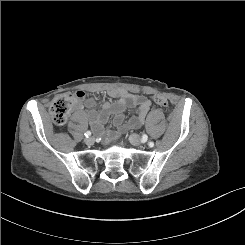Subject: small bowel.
Returning <instances> with one entry per match:
<instances>
[{"mask_svg": "<svg viewBox=\"0 0 245 245\" xmlns=\"http://www.w3.org/2000/svg\"><path fill=\"white\" fill-rule=\"evenodd\" d=\"M78 92L83 91L79 90ZM107 94L114 100H104L99 112L94 109L93 100L86 99L84 101L85 106L89 109L87 116L96 134H105L104 126L111 115H114V127L120 131L138 128L144 123L151 108V101L148 98L122 89H110ZM128 108H134L135 114L124 123V115Z\"/></svg>", "mask_w": 245, "mask_h": 245, "instance_id": "small-bowel-1", "label": "small bowel"}]
</instances>
